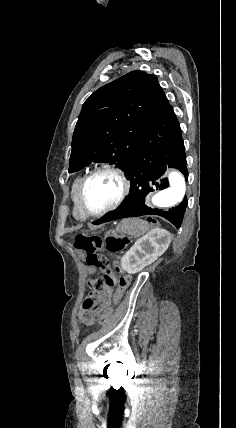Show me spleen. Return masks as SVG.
<instances>
[{"instance_id":"obj_1","label":"spleen","mask_w":236,"mask_h":428,"mask_svg":"<svg viewBox=\"0 0 236 428\" xmlns=\"http://www.w3.org/2000/svg\"><path fill=\"white\" fill-rule=\"evenodd\" d=\"M117 230L128 234V236L139 238V236H143V234L148 232L149 226L145 220H140V218H124L119 226H117Z\"/></svg>"}]
</instances>
